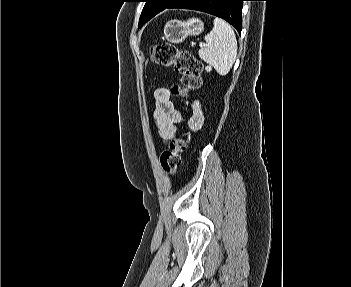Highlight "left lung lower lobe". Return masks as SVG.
<instances>
[{
  "mask_svg": "<svg viewBox=\"0 0 351 287\" xmlns=\"http://www.w3.org/2000/svg\"><path fill=\"white\" fill-rule=\"evenodd\" d=\"M243 1L246 0H175L166 9L180 8L206 12L226 20L240 33Z\"/></svg>",
  "mask_w": 351,
  "mask_h": 287,
  "instance_id": "obj_1",
  "label": "left lung lower lobe"
}]
</instances>
